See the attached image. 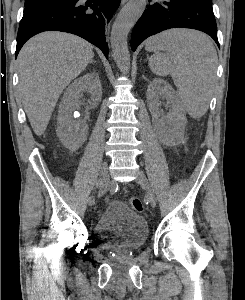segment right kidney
<instances>
[{"label": "right kidney", "instance_id": "1", "mask_svg": "<svg viewBox=\"0 0 245 300\" xmlns=\"http://www.w3.org/2000/svg\"><path fill=\"white\" fill-rule=\"evenodd\" d=\"M84 92L91 95L90 105L96 107L102 98V87L97 73H88L76 79L65 91L58 111L57 135L69 149H78L86 139L88 126L85 120L74 119L73 113L79 109V98Z\"/></svg>", "mask_w": 245, "mask_h": 300}]
</instances>
